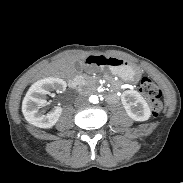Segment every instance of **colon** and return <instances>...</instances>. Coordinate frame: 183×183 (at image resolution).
<instances>
[{
  "label": "colon",
  "mask_w": 183,
  "mask_h": 183,
  "mask_svg": "<svg viewBox=\"0 0 183 183\" xmlns=\"http://www.w3.org/2000/svg\"><path fill=\"white\" fill-rule=\"evenodd\" d=\"M110 58L104 56L92 57L91 63L96 65H109ZM140 92L148 98L151 112L157 116L163 109L162 91L160 87L149 77H143L140 82Z\"/></svg>",
  "instance_id": "obj_1"
}]
</instances>
